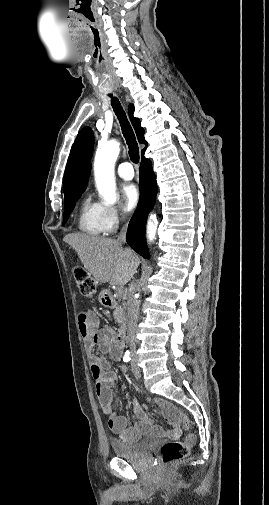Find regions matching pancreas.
I'll list each match as a JSON object with an SVG mask.
<instances>
[{
    "label": "pancreas",
    "mask_w": 269,
    "mask_h": 505,
    "mask_svg": "<svg viewBox=\"0 0 269 505\" xmlns=\"http://www.w3.org/2000/svg\"><path fill=\"white\" fill-rule=\"evenodd\" d=\"M125 292L123 291L122 294H118L117 295V298H118V301H119V305L116 307V309L114 310V319H115V322L118 323V324H124L125 321H126V305H125Z\"/></svg>",
    "instance_id": "cf45deb5"
}]
</instances>
